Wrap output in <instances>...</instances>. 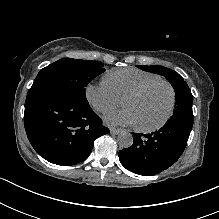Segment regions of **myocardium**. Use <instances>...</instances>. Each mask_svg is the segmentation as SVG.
I'll list each match as a JSON object with an SVG mask.
<instances>
[{
    "instance_id": "f54148a6",
    "label": "myocardium",
    "mask_w": 219,
    "mask_h": 219,
    "mask_svg": "<svg viewBox=\"0 0 219 219\" xmlns=\"http://www.w3.org/2000/svg\"><path fill=\"white\" fill-rule=\"evenodd\" d=\"M157 84H165V85L168 86V88L170 90L171 98H170V103H169L167 113H166L165 117L163 118V120L155 126L144 127V126H138L137 125V130L140 131V132H144V133L154 132V131L160 130L161 128H163L167 124V122L169 121V119L171 118V116L173 114V110H174V107H175V102H176L175 89H174L173 85L168 80L156 79V80H152V81H149V82H146V83L142 84L141 86H139L135 90L129 92L124 97V100L134 98V97L142 94L143 92H145L150 87H152L154 85H157Z\"/></svg>"
}]
</instances>
